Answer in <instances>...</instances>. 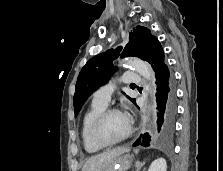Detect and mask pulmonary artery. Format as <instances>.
I'll return each instance as SVG.
<instances>
[{
	"instance_id": "pulmonary-artery-1",
	"label": "pulmonary artery",
	"mask_w": 223,
	"mask_h": 171,
	"mask_svg": "<svg viewBox=\"0 0 223 171\" xmlns=\"http://www.w3.org/2000/svg\"><path fill=\"white\" fill-rule=\"evenodd\" d=\"M123 83L125 84H135L141 82V78L137 73L134 72H127L124 74L122 78ZM115 86L112 83L104 85L103 87L99 88L93 96V101L101 103L103 105H108L111 96L114 92Z\"/></svg>"
}]
</instances>
